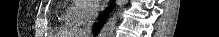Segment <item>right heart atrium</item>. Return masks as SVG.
<instances>
[{"label": "right heart atrium", "mask_w": 219, "mask_h": 37, "mask_svg": "<svg viewBox=\"0 0 219 37\" xmlns=\"http://www.w3.org/2000/svg\"><path fill=\"white\" fill-rule=\"evenodd\" d=\"M97 8L98 5L93 0H75L67 12V17L76 24H82L96 15Z\"/></svg>", "instance_id": "d8ad5b80"}]
</instances>
